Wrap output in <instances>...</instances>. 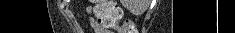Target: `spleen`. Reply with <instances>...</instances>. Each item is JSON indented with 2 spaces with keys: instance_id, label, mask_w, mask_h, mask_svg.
<instances>
[{
  "instance_id": "obj_1",
  "label": "spleen",
  "mask_w": 235,
  "mask_h": 33,
  "mask_svg": "<svg viewBox=\"0 0 235 33\" xmlns=\"http://www.w3.org/2000/svg\"><path fill=\"white\" fill-rule=\"evenodd\" d=\"M147 4H148V0H146V4H144V6H142V7L138 8V12H140V11H142V10L146 9Z\"/></svg>"
}]
</instances>
